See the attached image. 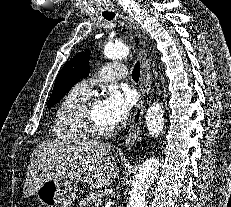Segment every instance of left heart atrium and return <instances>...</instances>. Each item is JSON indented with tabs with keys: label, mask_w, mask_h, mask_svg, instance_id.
Here are the masks:
<instances>
[{
	"label": "left heart atrium",
	"mask_w": 231,
	"mask_h": 207,
	"mask_svg": "<svg viewBox=\"0 0 231 207\" xmlns=\"http://www.w3.org/2000/svg\"><path fill=\"white\" fill-rule=\"evenodd\" d=\"M134 103L135 97L131 91L112 90L101 102V107L105 119L115 126L127 118Z\"/></svg>",
	"instance_id": "obj_1"
}]
</instances>
